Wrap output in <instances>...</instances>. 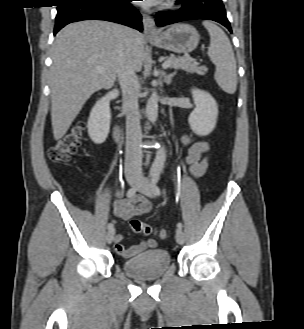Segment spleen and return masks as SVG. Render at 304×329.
Instances as JSON below:
<instances>
[{
    "instance_id": "3e777b00",
    "label": "spleen",
    "mask_w": 304,
    "mask_h": 329,
    "mask_svg": "<svg viewBox=\"0 0 304 329\" xmlns=\"http://www.w3.org/2000/svg\"><path fill=\"white\" fill-rule=\"evenodd\" d=\"M203 26L210 35L208 56L216 66L214 78L223 91L234 94L237 88L236 60L230 40L214 23L204 21Z\"/></svg>"
}]
</instances>
